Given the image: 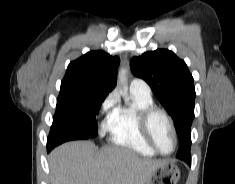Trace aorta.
I'll list each match as a JSON object with an SVG mask.
<instances>
[{"label":"aorta","instance_id":"obj_1","mask_svg":"<svg viewBox=\"0 0 235 184\" xmlns=\"http://www.w3.org/2000/svg\"><path fill=\"white\" fill-rule=\"evenodd\" d=\"M118 78L120 82H123V84H127V76H126V70H120L118 74ZM125 102H129V98H124Z\"/></svg>","mask_w":235,"mask_h":184}]
</instances>
